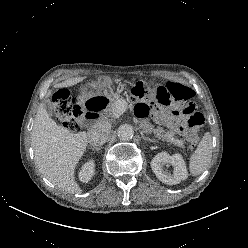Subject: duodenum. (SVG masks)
I'll return each instance as SVG.
<instances>
[{
	"label": "duodenum",
	"instance_id": "410a0bca",
	"mask_svg": "<svg viewBox=\"0 0 248 248\" xmlns=\"http://www.w3.org/2000/svg\"><path fill=\"white\" fill-rule=\"evenodd\" d=\"M83 116H85L87 120H96L98 117L97 114L92 113L90 111H84Z\"/></svg>",
	"mask_w": 248,
	"mask_h": 248
}]
</instances>
